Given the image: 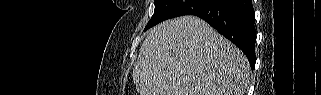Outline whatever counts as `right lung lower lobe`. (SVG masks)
Here are the masks:
<instances>
[{"instance_id":"obj_1","label":"right lung lower lobe","mask_w":321,"mask_h":95,"mask_svg":"<svg viewBox=\"0 0 321 95\" xmlns=\"http://www.w3.org/2000/svg\"><path fill=\"white\" fill-rule=\"evenodd\" d=\"M208 22L247 56L253 69L256 62L254 9L251 0H210L191 13Z\"/></svg>"}]
</instances>
